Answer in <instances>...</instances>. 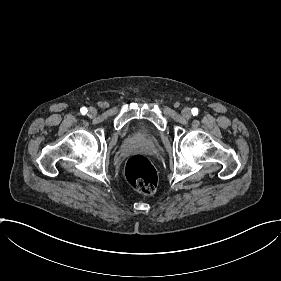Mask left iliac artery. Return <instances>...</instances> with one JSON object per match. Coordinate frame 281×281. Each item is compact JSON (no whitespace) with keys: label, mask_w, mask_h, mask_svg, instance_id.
Instances as JSON below:
<instances>
[{"label":"left iliac artery","mask_w":281,"mask_h":281,"mask_svg":"<svg viewBox=\"0 0 281 281\" xmlns=\"http://www.w3.org/2000/svg\"><path fill=\"white\" fill-rule=\"evenodd\" d=\"M191 112H192L193 116H195V115L198 114V109H197V108H193V109L191 110Z\"/></svg>","instance_id":"44dca946"}]
</instances>
